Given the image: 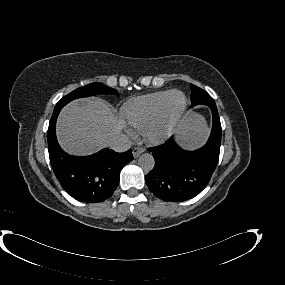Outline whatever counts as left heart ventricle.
<instances>
[{
  "instance_id": "b2bd125f",
  "label": "left heart ventricle",
  "mask_w": 285,
  "mask_h": 285,
  "mask_svg": "<svg viewBox=\"0 0 285 285\" xmlns=\"http://www.w3.org/2000/svg\"><path fill=\"white\" fill-rule=\"evenodd\" d=\"M180 103H181V97H180V96H175V97L173 98V105H174V107L179 106Z\"/></svg>"
}]
</instances>
